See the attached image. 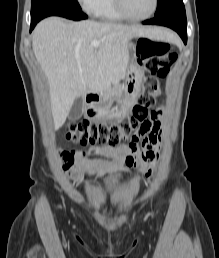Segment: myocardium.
Segmentation results:
<instances>
[{
	"instance_id": "myocardium-1",
	"label": "myocardium",
	"mask_w": 219,
	"mask_h": 258,
	"mask_svg": "<svg viewBox=\"0 0 219 258\" xmlns=\"http://www.w3.org/2000/svg\"><path fill=\"white\" fill-rule=\"evenodd\" d=\"M114 4L116 7V10L118 11V13L120 14V16L122 18L130 20V21L139 22V21H144V20L151 18L156 13L158 6H159V0H154L153 9L149 14H147L145 16H140V17L130 15L125 8L123 0H114Z\"/></svg>"
}]
</instances>
